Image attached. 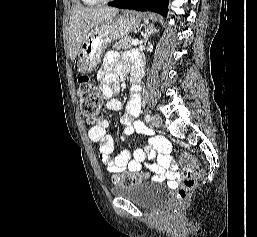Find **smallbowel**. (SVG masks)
Masks as SVG:
<instances>
[{"mask_svg":"<svg viewBox=\"0 0 257 237\" xmlns=\"http://www.w3.org/2000/svg\"><path fill=\"white\" fill-rule=\"evenodd\" d=\"M131 60H134V58ZM139 68L140 65L138 63L130 67L129 62L120 61V56L115 51H110L106 54L98 77L101 82L102 93L107 99L106 108L109 111L117 112L122 109L121 101L112 98V94L119 89L116 75L131 71L133 76L135 74L139 76ZM112 69H114V72ZM132 92V96L126 106V112L121 117V123L124 125L121 138L125 139V137L134 133H144L148 137L149 144L135 150L132 159L127 150H122L112 157L114 142L110 134L107 133L108 122L102 117L89 129L88 136L92 142L99 145V158L109 172H137L145 162H148L155 180L166 179L175 184L180 179V176L170 156V143L164 137L152 135L141 122L136 120L140 113L138 84L133 83Z\"/></svg>","mask_w":257,"mask_h":237,"instance_id":"1","label":"small bowel"}]
</instances>
